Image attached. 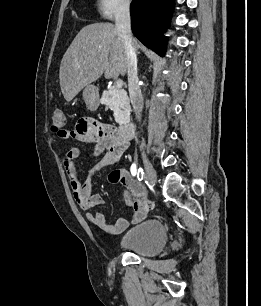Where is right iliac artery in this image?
<instances>
[{
  "instance_id": "82829eb1",
  "label": "right iliac artery",
  "mask_w": 261,
  "mask_h": 306,
  "mask_svg": "<svg viewBox=\"0 0 261 306\" xmlns=\"http://www.w3.org/2000/svg\"><path fill=\"white\" fill-rule=\"evenodd\" d=\"M131 173H132L133 176H135L136 173H137V178H138L139 181H142L143 178H144L143 169H142V168H139V169H138V172H137V171H136V165H135V164H132V166H131Z\"/></svg>"
}]
</instances>
